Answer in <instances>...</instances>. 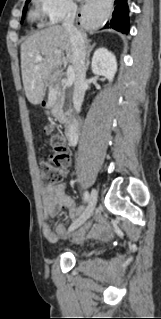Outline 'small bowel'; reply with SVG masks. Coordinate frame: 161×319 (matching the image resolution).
I'll use <instances>...</instances> for the list:
<instances>
[{
    "instance_id": "small-bowel-1",
    "label": "small bowel",
    "mask_w": 161,
    "mask_h": 319,
    "mask_svg": "<svg viewBox=\"0 0 161 319\" xmlns=\"http://www.w3.org/2000/svg\"><path fill=\"white\" fill-rule=\"evenodd\" d=\"M67 185L65 182H58L52 185H46L42 189V207L43 213L46 218L53 217L56 214V208L58 205L64 206L68 210V214L71 217L77 216L84 211L83 207H77L74 200L66 194ZM91 227V222H86L83 227L73 236L74 240H82L85 232ZM44 236L51 242L58 239L66 232V228L63 224H58L55 231H52L49 224L46 222L42 228ZM111 226L102 217H98L97 224L91 229L90 235L92 237L109 236L111 234Z\"/></svg>"
}]
</instances>
